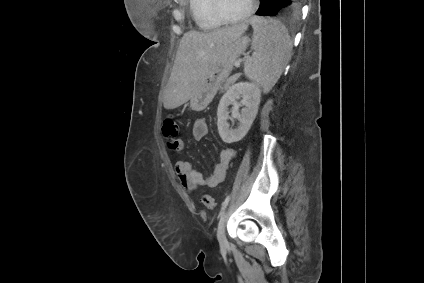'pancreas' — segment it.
<instances>
[{"label":"pancreas","instance_id":"obj_1","mask_svg":"<svg viewBox=\"0 0 424 283\" xmlns=\"http://www.w3.org/2000/svg\"><path fill=\"white\" fill-rule=\"evenodd\" d=\"M239 77L240 74H235L226 79L225 83L220 87V92L223 93L224 91L228 90L230 88V85L234 84Z\"/></svg>","mask_w":424,"mask_h":283}]
</instances>
